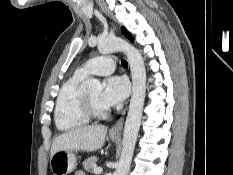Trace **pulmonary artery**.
Wrapping results in <instances>:
<instances>
[{"mask_svg":"<svg viewBox=\"0 0 233 175\" xmlns=\"http://www.w3.org/2000/svg\"><path fill=\"white\" fill-rule=\"evenodd\" d=\"M116 61L109 56H101L86 62L76 73L82 76L111 74L115 69Z\"/></svg>","mask_w":233,"mask_h":175,"instance_id":"1","label":"pulmonary artery"}]
</instances>
